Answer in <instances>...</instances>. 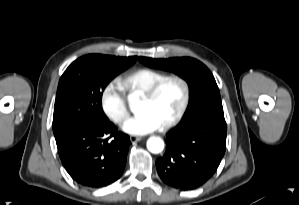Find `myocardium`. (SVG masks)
Returning <instances> with one entry per match:
<instances>
[{"instance_id": "obj_1", "label": "myocardium", "mask_w": 299, "mask_h": 205, "mask_svg": "<svg viewBox=\"0 0 299 205\" xmlns=\"http://www.w3.org/2000/svg\"><path fill=\"white\" fill-rule=\"evenodd\" d=\"M169 82H177L181 85L182 90H183V97L182 101L180 104V107L176 114L169 119L167 122L161 125V128L163 130L172 128L173 126L177 125L182 118L184 117L189 104H190V99H191V88L189 82L183 78L182 76L179 75H169L158 82H156L154 85H152L149 89H147L145 92H143L140 95V98L144 101H151L153 100L159 93L160 91L169 83Z\"/></svg>"}]
</instances>
